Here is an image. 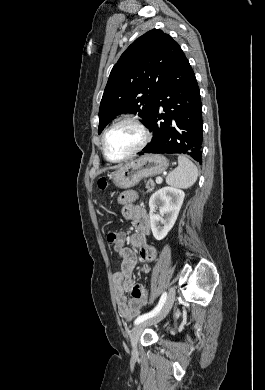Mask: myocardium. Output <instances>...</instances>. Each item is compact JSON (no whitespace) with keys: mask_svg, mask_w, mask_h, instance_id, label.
Returning <instances> with one entry per match:
<instances>
[{"mask_svg":"<svg viewBox=\"0 0 265 390\" xmlns=\"http://www.w3.org/2000/svg\"><path fill=\"white\" fill-rule=\"evenodd\" d=\"M122 124H130L132 126H134L135 128L138 129V131L140 132L141 134V139L139 141V143L137 144V146L132 149L127 155H125L124 157L120 158V159H111L108 154H107V151H106V139H107V136L108 134L117 126L119 125H122ZM150 138H151V134H150V131L149 129L147 128V126L143 123L142 120H140L138 117L136 116H131V115H126V116H123L121 117L120 119L116 120L115 122H113L104 132L103 136H102V140H101V147H102V153H103V156L104 158L110 162V163H121V162H125L129 159H131L132 157H134L135 155H137L139 152H141L146 146L147 144L149 143L150 141Z\"/></svg>","mask_w":265,"mask_h":390,"instance_id":"obj_1","label":"myocardium"}]
</instances>
